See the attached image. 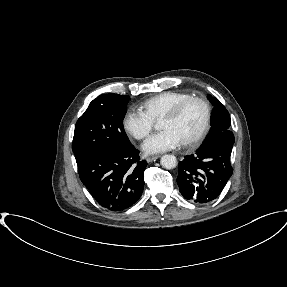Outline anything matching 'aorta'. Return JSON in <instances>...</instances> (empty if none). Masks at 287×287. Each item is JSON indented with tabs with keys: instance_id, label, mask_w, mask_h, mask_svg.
I'll return each instance as SVG.
<instances>
[{
	"instance_id": "762f6f07",
	"label": "aorta",
	"mask_w": 287,
	"mask_h": 287,
	"mask_svg": "<svg viewBox=\"0 0 287 287\" xmlns=\"http://www.w3.org/2000/svg\"><path fill=\"white\" fill-rule=\"evenodd\" d=\"M160 163L166 169H173L177 166V159L174 155L165 154L161 157Z\"/></svg>"
}]
</instances>
